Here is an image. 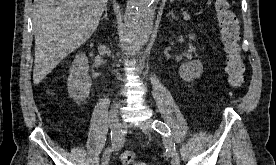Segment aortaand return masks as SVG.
<instances>
[{"label":"aorta","mask_w":276,"mask_h":165,"mask_svg":"<svg viewBox=\"0 0 276 165\" xmlns=\"http://www.w3.org/2000/svg\"><path fill=\"white\" fill-rule=\"evenodd\" d=\"M159 0H128L125 16L126 48L138 51L149 39Z\"/></svg>","instance_id":"obj_1"}]
</instances>
